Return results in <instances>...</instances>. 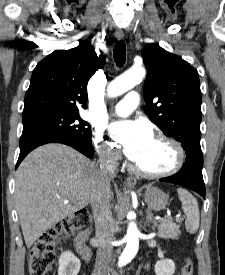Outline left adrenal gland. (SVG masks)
I'll list each match as a JSON object with an SVG mask.
<instances>
[{"label": "left adrenal gland", "mask_w": 225, "mask_h": 275, "mask_svg": "<svg viewBox=\"0 0 225 275\" xmlns=\"http://www.w3.org/2000/svg\"><path fill=\"white\" fill-rule=\"evenodd\" d=\"M153 221H154V219H153L152 212L150 210H147L145 226L147 223H148V225H150V223H152Z\"/></svg>", "instance_id": "a2214340"}]
</instances>
